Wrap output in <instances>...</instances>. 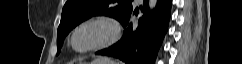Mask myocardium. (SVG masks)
I'll list each match as a JSON object with an SVG mask.
<instances>
[{
  "instance_id": "f54148a6",
  "label": "myocardium",
  "mask_w": 242,
  "mask_h": 64,
  "mask_svg": "<svg viewBox=\"0 0 242 64\" xmlns=\"http://www.w3.org/2000/svg\"><path fill=\"white\" fill-rule=\"evenodd\" d=\"M99 26L106 29V34L98 41L83 47L78 48L75 45L76 36L88 27ZM121 30L116 21L105 16H94L84 19L78 23L70 33L69 45L77 53H88L97 50L106 49L115 44L120 38Z\"/></svg>"
}]
</instances>
